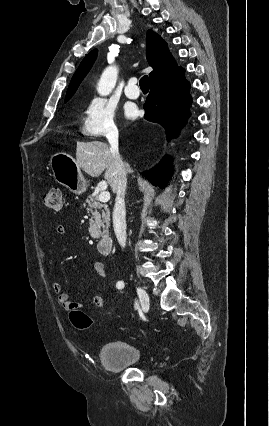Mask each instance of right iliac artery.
Listing matches in <instances>:
<instances>
[{
  "label": "right iliac artery",
  "mask_w": 269,
  "mask_h": 426,
  "mask_svg": "<svg viewBox=\"0 0 269 426\" xmlns=\"http://www.w3.org/2000/svg\"><path fill=\"white\" fill-rule=\"evenodd\" d=\"M117 287L118 288H123L124 287V284L121 282H119L118 284H117ZM135 309H139V304H138V301H135Z\"/></svg>",
  "instance_id": "1"
}]
</instances>
